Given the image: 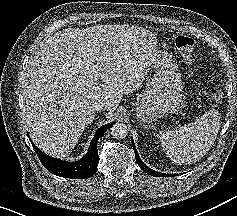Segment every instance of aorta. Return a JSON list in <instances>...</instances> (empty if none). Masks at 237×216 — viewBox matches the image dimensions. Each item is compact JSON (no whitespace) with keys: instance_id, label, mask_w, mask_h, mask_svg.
Listing matches in <instances>:
<instances>
[{"instance_id":"aorta-1","label":"aorta","mask_w":237,"mask_h":216,"mask_svg":"<svg viewBox=\"0 0 237 216\" xmlns=\"http://www.w3.org/2000/svg\"><path fill=\"white\" fill-rule=\"evenodd\" d=\"M111 135L115 139H124L128 135V128L125 123L116 122L111 127Z\"/></svg>"}]
</instances>
